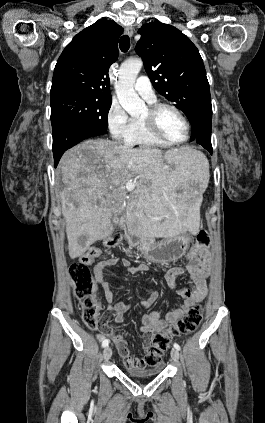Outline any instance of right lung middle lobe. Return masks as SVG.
Masks as SVG:
<instances>
[{
	"mask_svg": "<svg viewBox=\"0 0 265 423\" xmlns=\"http://www.w3.org/2000/svg\"><path fill=\"white\" fill-rule=\"evenodd\" d=\"M111 99L79 94H66L51 98L52 128L65 122H77L107 133Z\"/></svg>",
	"mask_w": 265,
	"mask_h": 423,
	"instance_id": "1",
	"label": "right lung middle lobe"
}]
</instances>
